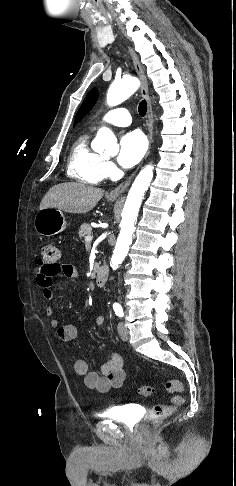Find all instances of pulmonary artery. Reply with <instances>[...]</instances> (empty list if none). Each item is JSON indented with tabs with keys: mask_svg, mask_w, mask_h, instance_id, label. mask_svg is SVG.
Instances as JSON below:
<instances>
[{
	"mask_svg": "<svg viewBox=\"0 0 236 486\" xmlns=\"http://www.w3.org/2000/svg\"><path fill=\"white\" fill-rule=\"evenodd\" d=\"M132 122L129 111L125 108H115L105 113L95 127L102 124H110L120 127L129 126Z\"/></svg>",
	"mask_w": 236,
	"mask_h": 486,
	"instance_id": "e3ab8cb5",
	"label": "pulmonary artery"
}]
</instances>
